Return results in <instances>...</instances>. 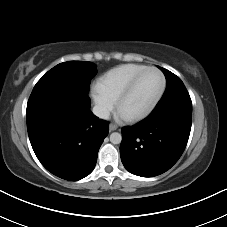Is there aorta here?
<instances>
[{
	"label": "aorta",
	"instance_id": "762f6f07",
	"mask_svg": "<svg viewBox=\"0 0 227 227\" xmlns=\"http://www.w3.org/2000/svg\"><path fill=\"white\" fill-rule=\"evenodd\" d=\"M110 141L113 144H120L122 141V135L118 132H114L110 135Z\"/></svg>",
	"mask_w": 227,
	"mask_h": 227
}]
</instances>
